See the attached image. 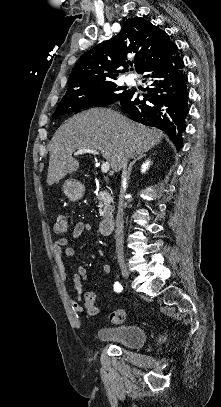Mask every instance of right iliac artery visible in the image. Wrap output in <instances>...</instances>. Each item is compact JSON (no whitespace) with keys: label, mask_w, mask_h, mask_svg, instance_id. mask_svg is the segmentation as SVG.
<instances>
[{"label":"right iliac artery","mask_w":221,"mask_h":407,"mask_svg":"<svg viewBox=\"0 0 221 407\" xmlns=\"http://www.w3.org/2000/svg\"><path fill=\"white\" fill-rule=\"evenodd\" d=\"M122 289H123V287H122V285H121L119 282H115V283H114V290H115L116 292H121Z\"/></svg>","instance_id":"obj_1"}]
</instances>
